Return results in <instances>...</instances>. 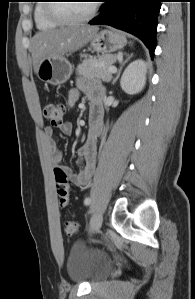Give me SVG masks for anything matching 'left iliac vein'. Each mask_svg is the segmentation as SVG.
Returning <instances> with one entry per match:
<instances>
[{"label":"left iliac vein","mask_w":195,"mask_h":299,"mask_svg":"<svg viewBox=\"0 0 195 299\" xmlns=\"http://www.w3.org/2000/svg\"><path fill=\"white\" fill-rule=\"evenodd\" d=\"M102 225V214L100 212H97L93 215L90 221V228L93 233L98 232Z\"/></svg>","instance_id":"4c4485c4"}]
</instances>
